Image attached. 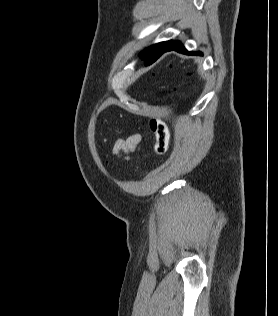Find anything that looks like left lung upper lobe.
<instances>
[{"mask_svg": "<svg viewBox=\"0 0 278 316\" xmlns=\"http://www.w3.org/2000/svg\"><path fill=\"white\" fill-rule=\"evenodd\" d=\"M170 42L171 41H165L150 46L140 54L141 59L145 61L146 65L152 64L161 56L162 52Z\"/></svg>", "mask_w": 278, "mask_h": 316, "instance_id": "1", "label": "left lung upper lobe"}]
</instances>
